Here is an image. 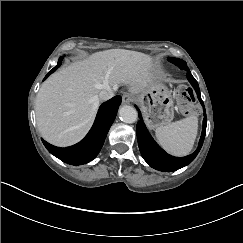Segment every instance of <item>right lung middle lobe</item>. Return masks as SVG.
<instances>
[{"mask_svg":"<svg viewBox=\"0 0 243 243\" xmlns=\"http://www.w3.org/2000/svg\"><path fill=\"white\" fill-rule=\"evenodd\" d=\"M62 60H63V57H60L59 58V61H58V64L46 75V77L49 75V74H51V73H53L58 67H60V65H61V63H62ZM45 77V78H46Z\"/></svg>","mask_w":243,"mask_h":243,"instance_id":"dd1d6c3e","label":"right lung middle lobe"}]
</instances>
